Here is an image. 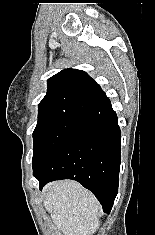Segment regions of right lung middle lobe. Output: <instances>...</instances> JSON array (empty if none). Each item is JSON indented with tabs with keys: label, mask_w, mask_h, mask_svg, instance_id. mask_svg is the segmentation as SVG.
<instances>
[{
	"label": "right lung middle lobe",
	"mask_w": 155,
	"mask_h": 235,
	"mask_svg": "<svg viewBox=\"0 0 155 235\" xmlns=\"http://www.w3.org/2000/svg\"><path fill=\"white\" fill-rule=\"evenodd\" d=\"M91 123L59 112H40L33 132V172L43 170L56 154Z\"/></svg>",
	"instance_id": "1"
}]
</instances>
